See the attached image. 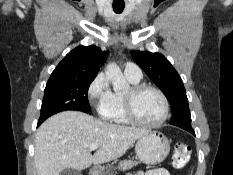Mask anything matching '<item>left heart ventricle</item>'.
Listing matches in <instances>:
<instances>
[{
	"label": "left heart ventricle",
	"mask_w": 233,
	"mask_h": 175,
	"mask_svg": "<svg viewBox=\"0 0 233 175\" xmlns=\"http://www.w3.org/2000/svg\"><path fill=\"white\" fill-rule=\"evenodd\" d=\"M137 117L143 122H155L163 115V102L160 96L152 90L140 92L134 101Z\"/></svg>",
	"instance_id": "b2bd125f"
}]
</instances>
